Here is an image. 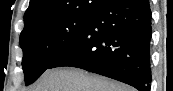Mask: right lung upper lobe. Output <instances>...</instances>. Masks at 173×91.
Wrapping results in <instances>:
<instances>
[{
  "instance_id": "right-lung-upper-lobe-1",
  "label": "right lung upper lobe",
  "mask_w": 173,
  "mask_h": 91,
  "mask_svg": "<svg viewBox=\"0 0 173 91\" xmlns=\"http://www.w3.org/2000/svg\"><path fill=\"white\" fill-rule=\"evenodd\" d=\"M102 1L103 0H30L29 7L24 15V29L46 19L95 11Z\"/></svg>"
}]
</instances>
